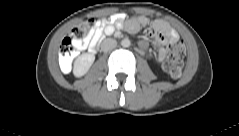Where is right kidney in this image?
<instances>
[{
  "label": "right kidney",
  "mask_w": 239,
  "mask_h": 136,
  "mask_svg": "<svg viewBox=\"0 0 239 136\" xmlns=\"http://www.w3.org/2000/svg\"><path fill=\"white\" fill-rule=\"evenodd\" d=\"M95 60V56L90 53L81 54L74 62L73 74L76 77L85 75Z\"/></svg>",
  "instance_id": "obj_1"
}]
</instances>
